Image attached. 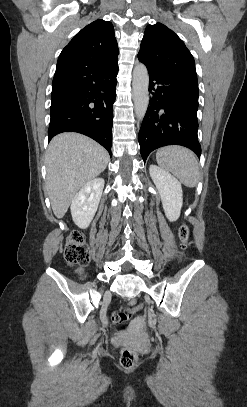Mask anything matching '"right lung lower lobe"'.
<instances>
[{
	"mask_svg": "<svg viewBox=\"0 0 247 407\" xmlns=\"http://www.w3.org/2000/svg\"><path fill=\"white\" fill-rule=\"evenodd\" d=\"M118 64L93 72L78 85L51 95L48 140L72 131L100 143L111 155Z\"/></svg>",
	"mask_w": 247,
	"mask_h": 407,
	"instance_id": "98d812e1",
	"label": "right lung lower lobe"
}]
</instances>
